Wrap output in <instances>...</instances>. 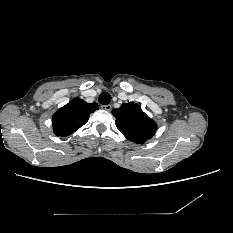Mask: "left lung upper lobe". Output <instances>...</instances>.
Instances as JSON below:
<instances>
[{
	"instance_id": "left-lung-upper-lobe-1",
	"label": "left lung upper lobe",
	"mask_w": 233,
	"mask_h": 233,
	"mask_svg": "<svg viewBox=\"0 0 233 233\" xmlns=\"http://www.w3.org/2000/svg\"><path fill=\"white\" fill-rule=\"evenodd\" d=\"M112 114L116 118V127L134 143L144 144L157 130L156 123L136 103L122 104Z\"/></svg>"
}]
</instances>
